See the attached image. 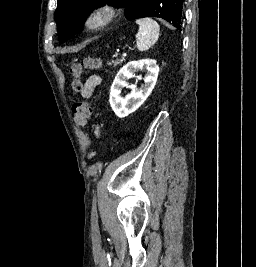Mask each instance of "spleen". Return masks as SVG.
<instances>
[{"label":"spleen","mask_w":256,"mask_h":267,"mask_svg":"<svg viewBox=\"0 0 256 267\" xmlns=\"http://www.w3.org/2000/svg\"><path fill=\"white\" fill-rule=\"evenodd\" d=\"M135 24L139 26L135 36L136 48L139 52H146L156 44L160 36V28L152 18H141V20H136Z\"/></svg>","instance_id":"1"}]
</instances>
